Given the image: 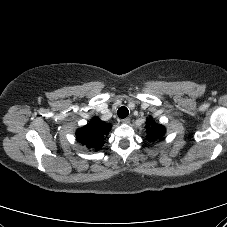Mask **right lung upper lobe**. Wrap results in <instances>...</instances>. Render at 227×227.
Wrapping results in <instances>:
<instances>
[{"label":"right lung upper lobe","mask_w":227,"mask_h":227,"mask_svg":"<svg viewBox=\"0 0 227 227\" xmlns=\"http://www.w3.org/2000/svg\"><path fill=\"white\" fill-rule=\"evenodd\" d=\"M111 124L94 117L87 125L76 131L77 141L89 149L98 151L105 143Z\"/></svg>","instance_id":"obj_1"}]
</instances>
